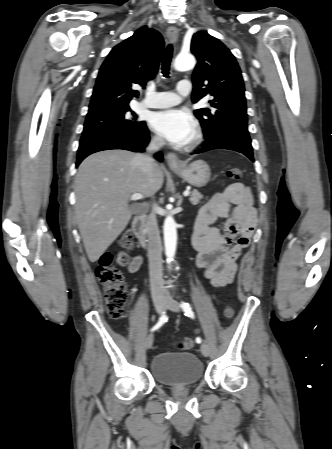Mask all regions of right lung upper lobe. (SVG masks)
I'll return each instance as SVG.
<instances>
[{
  "label": "right lung upper lobe",
  "instance_id": "obj_1",
  "mask_svg": "<svg viewBox=\"0 0 332 449\" xmlns=\"http://www.w3.org/2000/svg\"><path fill=\"white\" fill-rule=\"evenodd\" d=\"M163 47L161 34L147 27L116 45L99 70L89 112L129 107L139 95L134 86H145L157 73Z\"/></svg>",
  "mask_w": 332,
  "mask_h": 449
}]
</instances>
